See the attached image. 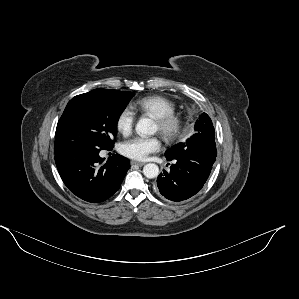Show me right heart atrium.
Here are the masks:
<instances>
[{
    "label": "right heart atrium",
    "instance_id": "right-heart-atrium-1",
    "mask_svg": "<svg viewBox=\"0 0 299 299\" xmlns=\"http://www.w3.org/2000/svg\"><path fill=\"white\" fill-rule=\"evenodd\" d=\"M135 124V113L133 109L126 106L121 109L115 120V128L122 135H129Z\"/></svg>",
    "mask_w": 299,
    "mask_h": 299
}]
</instances>
